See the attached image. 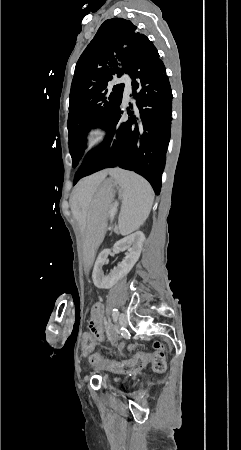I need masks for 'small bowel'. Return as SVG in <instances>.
Wrapping results in <instances>:
<instances>
[{
    "mask_svg": "<svg viewBox=\"0 0 241 450\" xmlns=\"http://www.w3.org/2000/svg\"><path fill=\"white\" fill-rule=\"evenodd\" d=\"M103 310H102V305L100 303H95L93 305V310H92V316H89L88 322H89V328L91 331V333H95L96 339H95V344L97 345V341L102 339V334H103ZM135 349V345L134 344H126V343H121L118 347V352L121 354L124 350H128L131 351Z\"/></svg>",
    "mask_w": 241,
    "mask_h": 450,
    "instance_id": "c3829d8e",
    "label": "small bowel"
}]
</instances>
